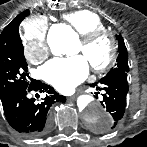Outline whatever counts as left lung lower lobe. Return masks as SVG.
Instances as JSON below:
<instances>
[{"mask_svg": "<svg viewBox=\"0 0 147 147\" xmlns=\"http://www.w3.org/2000/svg\"><path fill=\"white\" fill-rule=\"evenodd\" d=\"M99 84H102L103 87H98ZM90 86L96 87L97 90H104L101 104L111 114L112 120L107 126L99 125L97 128L104 132L110 131L117 126L125 112L126 96L129 89L127 73H120L106 79H101L99 83L96 82L90 84Z\"/></svg>", "mask_w": 147, "mask_h": 147, "instance_id": "0a47b994", "label": "left lung lower lobe"}]
</instances>
